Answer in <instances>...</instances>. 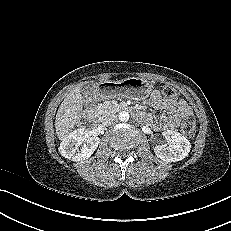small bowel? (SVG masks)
Masks as SVG:
<instances>
[{"instance_id": "c3829d8e", "label": "small bowel", "mask_w": 231, "mask_h": 231, "mask_svg": "<svg viewBox=\"0 0 231 231\" xmlns=\"http://www.w3.org/2000/svg\"><path fill=\"white\" fill-rule=\"evenodd\" d=\"M149 103L154 109L164 110L167 112V115L159 123H154L153 116L150 114L144 116L148 123L160 131L175 128L180 119L191 115V109L184 100L176 98L164 99L157 90L152 92ZM142 116L143 115L140 114V117Z\"/></svg>"}]
</instances>
